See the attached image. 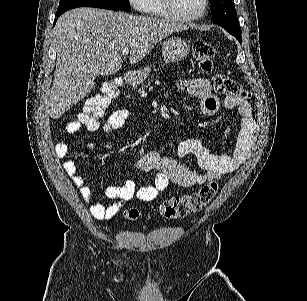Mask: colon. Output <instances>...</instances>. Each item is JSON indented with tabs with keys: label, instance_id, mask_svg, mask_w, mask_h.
I'll return each mask as SVG.
<instances>
[{
	"label": "colon",
	"instance_id": "5ec220e1",
	"mask_svg": "<svg viewBox=\"0 0 307 301\" xmlns=\"http://www.w3.org/2000/svg\"><path fill=\"white\" fill-rule=\"evenodd\" d=\"M193 56L203 72L209 73L212 71L215 49L210 43L204 40L195 41L193 44ZM211 81L214 90L220 94L236 96L242 99H247L250 96L249 92L237 80L228 75L221 73L213 74ZM120 87V81H108L103 84L99 93L87 101L79 119L88 130H96L98 128L100 121L105 115V110L111 101L119 95ZM217 190L218 185L216 182H208L193 193L174 196L165 200L160 204L158 211L166 219L186 217L206 207L217 194ZM125 215L129 219L135 220L138 218L139 212L132 208L127 210Z\"/></svg>",
	"mask_w": 307,
	"mask_h": 301
}]
</instances>
